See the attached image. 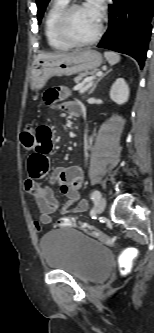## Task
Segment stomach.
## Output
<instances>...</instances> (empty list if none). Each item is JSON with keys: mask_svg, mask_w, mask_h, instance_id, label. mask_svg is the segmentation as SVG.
<instances>
[{"mask_svg": "<svg viewBox=\"0 0 154 333\" xmlns=\"http://www.w3.org/2000/svg\"><path fill=\"white\" fill-rule=\"evenodd\" d=\"M102 62L101 54L91 49L57 59L41 60L31 70V88L33 90L42 89L54 76H70L82 71L96 70Z\"/></svg>", "mask_w": 154, "mask_h": 333, "instance_id": "1", "label": "stomach"}]
</instances>
